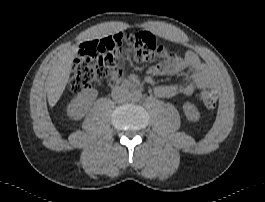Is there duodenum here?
I'll use <instances>...</instances> for the list:
<instances>
[{
    "instance_id": "obj_1",
    "label": "duodenum",
    "mask_w": 265,
    "mask_h": 202,
    "mask_svg": "<svg viewBox=\"0 0 265 202\" xmlns=\"http://www.w3.org/2000/svg\"><path fill=\"white\" fill-rule=\"evenodd\" d=\"M133 83L132 81L128 79H122L119 83V85H115V87H121L123 89L132 87Z\"/></svg>"
}]
</instances>
